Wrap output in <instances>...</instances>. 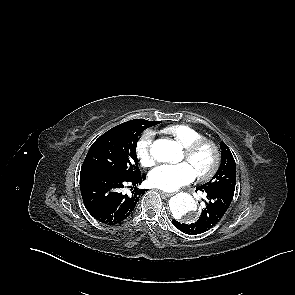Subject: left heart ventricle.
<instances>
[{
	"label": "left heart ventricle",
	"instance_id": "1",
	"mask_svg": "<svg viewBox=\"0 0 295 295\" xmlns=\"http://www.w3.org/2000/svg\"><path fill=\"white\" fill-rule=\"evenodd\" d=\"M181 160L189 163L197 174L206 171L211 166L213 162V152L209 147L205 146L190 158L183 153Z\"/></svg>",
	"mask_w": 295,
	"mask_h": 295
}]
</instances>
